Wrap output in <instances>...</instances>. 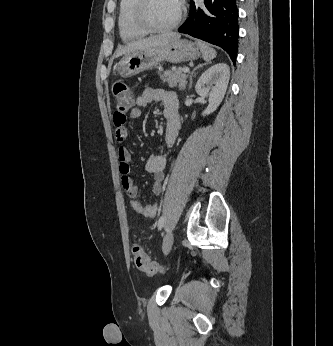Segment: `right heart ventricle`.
Returning <instances> with one entry per match:
<instances>
[{
	"instance_id": "1",
	"label": "right heart ventricle",
	"mask_w": 333,
	"mask_h": 346,
	"mask_svg": "<svg viewBox=\"0 0 333 346\" xmlns=\"http://www.w3.org/2000/svg\"><path fill=\"white\" fill-rule=\"evenodd\" d=\"M136 3L137 0H120L119 2L117 25L120 38L124 42L139 40L146 34L135 19Z\"/></svg>"
}]
</instances>
